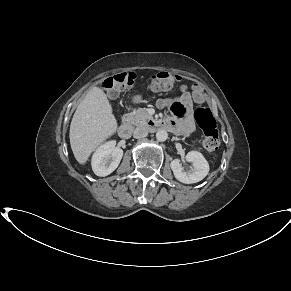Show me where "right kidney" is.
Returning a JSON list of instances; mask_svg holds the SVG:
<instances>
[{
    "label": "right kidney",
    "instance_id": "obj_1",
    "mask_svg": "<svg viewBox=\"0 0 291 291\" xmlns=\"http://www.w3.org/2000/svg\"><path fill=\"white\" fill-rule=\"evenodd\" d=\"M115 141H109L99 146L92 156V169L97 176L105 177L111 174L119 165L123 150L115 147Z\"/></svg>",
    "mask_w": 291,
    "mask_h": 291
}]
</instances>
